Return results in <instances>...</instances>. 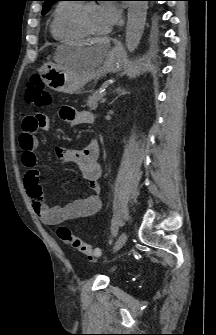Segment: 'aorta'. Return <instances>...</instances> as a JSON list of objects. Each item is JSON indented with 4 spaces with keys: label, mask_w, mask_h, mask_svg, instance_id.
<instances>
[{
    "label": "aorta",
    "mask_w": 216,
    "mask_h": 335,
    "mask_svg": "<svg viewBox=\"0 0 216 335\" xmlns=\"http://www.w3.org/2000/svg\"><path fill=\"white\" fill-rule=\"evenodd\" d=\"M148 4L146 1H131L126 26V47L132 53L139 45L143 35Z\"/></svg>",
    "instance_id": "aorta-1"
}]
</instances>
